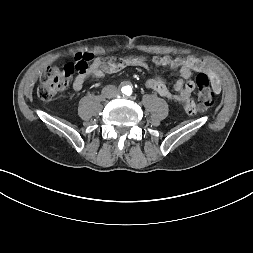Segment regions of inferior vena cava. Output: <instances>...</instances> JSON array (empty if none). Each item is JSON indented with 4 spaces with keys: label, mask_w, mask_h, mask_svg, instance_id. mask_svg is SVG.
<instances>
[{
    "label": "inferior vena cava",
    "mask_w": 253,
    "mask_h": 253,
    "mask_svg": "<svg viewBox=\"0 0 253 253\" xmlns=\"http://www.w3.org/2000/svg\"><path fill=\"white\" fill-rule=\"evenodd\" d=\"M102 93L106 98H112L117 94V87L114 85H108L103 88Z\"/></svg>",
    "instance_id": "602c4592"
}]
</instances>
